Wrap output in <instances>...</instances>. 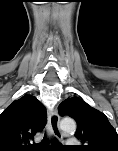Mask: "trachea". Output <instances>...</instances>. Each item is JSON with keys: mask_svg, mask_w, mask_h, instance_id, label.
Wrapping results in <instances>:
<instances>
[{"mask_svg": "<svg viewBox=\"0 0 118 151\" xmlns=\"http://www.w3.org/2000/svg\"><path fill=\"white\" fill-rule=\"evenodd\" d=\"M42 143H43V144H48V139H47L46 136H44Z\"/></svg>", "mask_w": 118, "mask_h": 151, "instance_id": "trachea-1", "label": "trachea"}]
</instances>
